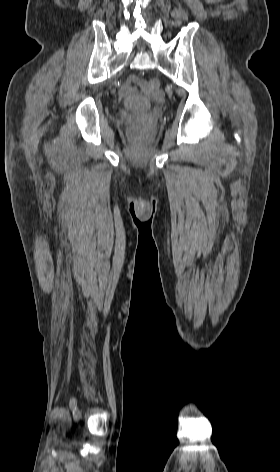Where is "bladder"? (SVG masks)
<instances>
[{
    "mask_svg": "<svg viewBox=\"0 0 280 472\" xmlns=\"http://www.w3.org/2000/svg\"><path fill=\"white\" fill-rule=\"evenodd\" d=\"M125 107L131 111L143 112L151 107V102L146 99H131L125 102Z\"/></svg>",
    "mask_w": 280,
    "mask_h": 472,
    "instance_id": "bladder-1",
    "label": "bladder"
}]
</instances>
